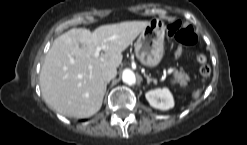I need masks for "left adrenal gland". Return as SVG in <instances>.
I'll list each match as a JSON object with an SVG mask.
<instances>
[{
	"mask_svg": "<svg viewBox=\"0 0 247 145\" xmlns=\"http://www.w3.org/2000/svg\"><path fill=\"white\" fill-rule=\"evenodd\" d=\"M144 77L147 79V83L150 84V82H154L155 84L157 83V80L152 79L150 76L146 75L144 73Z\"/></svg>",
	"mask_w": 247,
	"mask_h": 145,
	"instance_id": "a2214340",
	"label": "left adrenal gland"
}]
</instances>
